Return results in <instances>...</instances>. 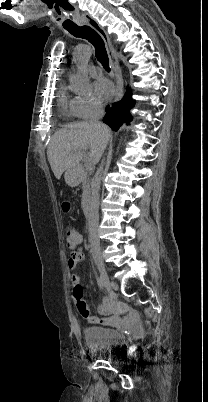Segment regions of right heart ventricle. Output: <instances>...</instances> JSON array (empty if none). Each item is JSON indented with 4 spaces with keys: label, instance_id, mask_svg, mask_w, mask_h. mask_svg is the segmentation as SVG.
<instances>
[{
    "label": "right heart ventricle",
    "instance_id": "e07e8e85",
    "mask_svg": "<svg viewBox=\"0 0 208 402\" xmlns=\"http://www.w3.org/2000/svg\"><path fill=\"white\" fill-rule=\"evenodd\" d=\"M59 107L60 109L72 120L73 123L79 121V115L77 113L75 98H72L65 85H62L59 91Z\"/></svg>",
    "mask_w": 208,
    "mask_h": 402
}]
</instances>
